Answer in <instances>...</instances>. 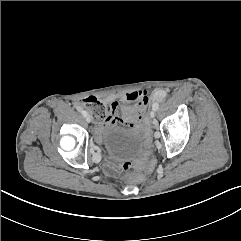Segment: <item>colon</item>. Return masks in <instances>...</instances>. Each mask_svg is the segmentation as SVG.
I'll return each instance as SVG.
<instances>
[{
  "mask_svg": "<svg viewBox=\"0 0 241 241\" xmlns=\"http://www.w3.org/2000/svg\"><path fill=\"white\" fill-rule=\"evenodd\" d=\"M81 108L87 110L91 117L97 122L107 121L112 118L113 115V105L104 100L98 99L94 96H89L81 100L80 102ZM144 134L141 139V145L143 148H148L150 145V133L151 128L145 127ZM131 165L135 167L134 172H129ZM123 171L127 172V180L140 183L145 179L144 173L148 175H153L155 173V168L153 167L152 161L144 156L143 158L135 157L130 162H125L122 165Z\"/></svg>",
  "mask_w": 241,
  "mask_h": 241,
  "instance_id": "colon-1",
  "label": "colon"
}]
</instances>
